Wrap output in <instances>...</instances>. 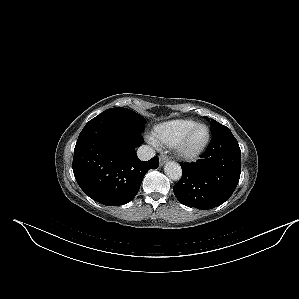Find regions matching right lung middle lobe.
Segmentation results:
<instances>
[{
    "instance_id": "1",
    "label": "right lung middle lobe",
    "mask_w": 299,
    "mask_h": 299,
    "mask_svg": "<svg viewBox=\"0 0 299 299\" xmlns=\"http://www.w3.org/2000/svg\"><path fill=\"white\" fill-rule=\"evenodd\" d=\"M101 115H110L121 119L140 133L143 132L146 123L145 118L127 108H110L102 112Z\"/></svg>"
}]
</instances>
